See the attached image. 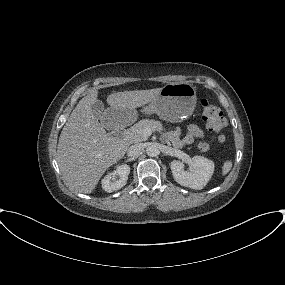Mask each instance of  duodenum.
<instances>
[{"label":"duodenum","instance_id":"duodenum-1","mask_svg":"<svg viewBox=\"0 0 285 285\" xmlns=\"http://www.w3.org/2000/svg\"><path fill=\"white\" fill-rule=\"evenodd\" d=\"M113 129H115V130H120V128L118 127V126H113Z\"/></svg>","mask_w":285,"mask_h":285}]
</instances>
